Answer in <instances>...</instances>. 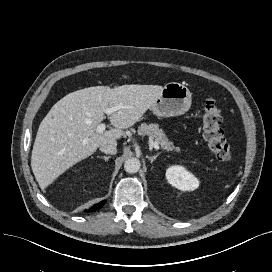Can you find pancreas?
Instances as JSON below:
<instances>
[{
  "label": "pancreas",
  "instance_id": "1",
  "mask_svg": "<svg viewBox=\"0 0 272 272\" xmlns=\"http://www.w3.org/2000/svg\"><path fill=\"white\" fill-rule=\"evenodd\" d=\"M138 134L142 136H149L153 138L163 150L166 151H179V148L173 145L172 141H169L164 131L159 128L158 124H146L143 123L138 128Z\"/></svg>",
  "mask_w": 272,
  "mask_h": 272
}]
</instances>
